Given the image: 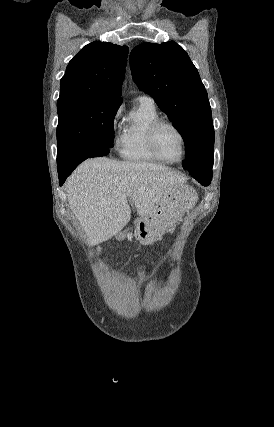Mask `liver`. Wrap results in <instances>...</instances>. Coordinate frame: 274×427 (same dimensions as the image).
I'll return each instance as SVG.
<instances>
[{"label": "liver", "mask_w": 274, "mask_h": 427, "mask_svg": "<svg viewBox=\"0 0 274 427\" xmlns=\"http://www.w3.org/2000/svg\"><path fill=\"white\" fill-rule=\"evenodd\" d=\"M187 178L166 166L147 162H117L92 158L69 176L65 190L69 208L79 219L88 245H97L119 233L130 221L128 200L141 217L161 202H180ZM187 204L183 208L190 210Z\"/></svg>", "instance_id": "6515ba94"}]
</instances>
